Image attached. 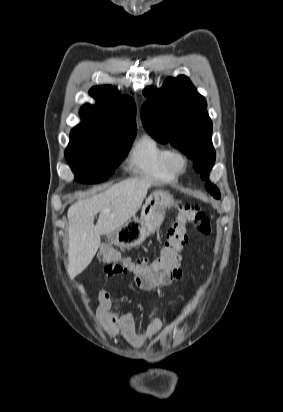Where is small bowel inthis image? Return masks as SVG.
<instances>
[{
    "label": "small bowel",
    "mask_w": 283,
    "mask_h": 412,
    "mask_svg": "<svg viewBox=\"0 0 283 412\" xmlns=\"http://www.w3.org/2000/svg\"><path fill=\"white\" fill-rule=\"evenodd\" d=\"M182 270L180 268V256L174 257L170 270L157 279L145 277L134 273L133 281L140 290H151L158 286L168 285L180 280ZM98 306L95 312L96 321L105 329L108 335H121L132 345H140L145 340L155 337L162 329V322L158 317H151L149 323L139 329L135 315L129 311H113L110 293L102 288L98 291ZM89 298L85 297L86 305Z\"/></svg>",
    "instance_id": "small-bowel-1"
}]
</instances>
